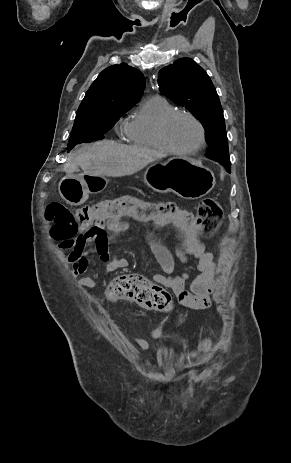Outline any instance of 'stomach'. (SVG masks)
Returning <instances> with one entry per match:
<instances>
[{
    "label": "stomach",
    "mask_w": 291,
    "mask_h": 463,
    "mask_svg": "<svg viewBox=\"0 0 291 463\" xmlns=\"http://www.w3.org/2000/svg\"><path fill=\"white\" fill-rule=\"evenodd\" d=\"M153 187L172 191L184 199H198L215 186L213 172L187 157H171L162 165L153 164L148 172ZM106 183L98 176H67L59 182L61 197L71 205L84 203L89 193L98 192Z\"/></svg>",
    "instance_id": "1"
}]
</instances>
